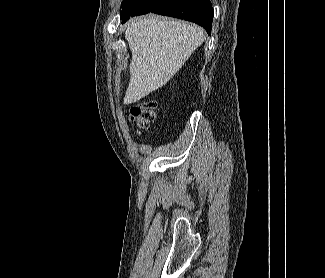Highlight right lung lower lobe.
Masks as SVG:
<instances>
[{"mask_svg": "<svg viewBox=\"0 0 325 278\" xmlns=\"http://www.w3.org/2000/svg\"><path fill=\"white\" fill-rule=\"evenodd\" d=\"M133 6V12L121 18L122 23L130 17L153 12L194 22L208 34L211 32L213 8L209 0H135Z\"/></svg>", "mask_w": 325, "mask_h": 278, "instance_id": "obj_1", "label": "right lung lower lobe"}]
</instances>
